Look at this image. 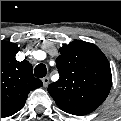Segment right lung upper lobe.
Instances as JSON below:
<instances>
[{"instance_id": "1", "label": "right lung upper lobe", "mask_w": 121, "mask_h": 121, "mask_svg": "<svg viewBox=\"0 0 121 121\" xmlns=\"http://www.w3.org/2000/svg\"><path fill=\"white\" fill-rule=\"evenodd\" d=\"M19 47L1 41V118L18 112L25 104L31 90L43 85L34 78L32 65L24 60H16Z\"/></svg>"}]
</instances>
